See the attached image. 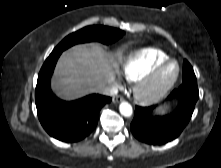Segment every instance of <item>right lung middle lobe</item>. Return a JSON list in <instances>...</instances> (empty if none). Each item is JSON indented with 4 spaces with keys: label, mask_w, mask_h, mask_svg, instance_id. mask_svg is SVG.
Instances as JSON below:
<instances>
[{
    "label": "right lung middle lobe",
    "mask_w": 221,
    "mask_h": 168,
    "mask_svg": "<svg viewBox=\"0 0 221 168\" xmlns=\"http://www.w3.org/2000/svg\"><path fill=\"white\" fill-rule=\"evenodd\" d=\"M119 29L105 26H87L65 37L52 51L62 53L65 49L77 44L90 41H99L104 44L113 43L123 36Z\"/></svg>",
    "instance_id": "right-lung-middle-lobe-1"
}]
</instances>
